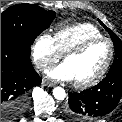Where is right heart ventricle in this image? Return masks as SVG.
I'll return each mask as SVG.
<instances>
[{
	"mask_svg": "<svg viewBox=\"0 0 122 122\" xmlns=\"http://www.w3.org/2000/svg\"><path fill=\"white\" fill-rule=\"evenodd\" d=\"M102 36L101 31L91 23H77L59 28L53 35L61 55L90 38Z\"/></svg>",
	"mask_w": 122,
	"mask_h": 122,
	"instance_id": "right-heart-ventricle-1",
	"label": "right heart ventricle"
}]
</instances>
